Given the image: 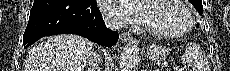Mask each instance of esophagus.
I'll list each match as a JSON object with an SVG mask.
<instances>
[{"label":"esophagus","mask_w":230,"mask_h":71,"mask_svg":"<svg viewBox=\"0 0 230 71\" xmlns=\"http://www.w3.org/2000/svg\"><path fill=\"white\" fill-rule=\"evenodd\" d=\"M120 38L123 42H128V41H131L133 39L132 35L129 32L122 33Z\"/></svg>","instance_id":"obj_1"}]
</instances>
